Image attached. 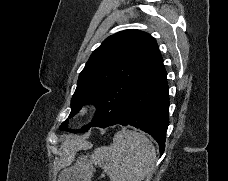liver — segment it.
Here are the masks:
<instances>
[{"label": "liver", "instance_id": "1", "mask_svg": "<svg viewBox=\"0 0 228 181\" xmlns=\"http://www.w3.org/2000/svg\"><path fill=\"white\" fill-rule=\"evenodd\" d=\"M91 147V143H88V141L83 139V137H77V135H68V137H65V141L61 145V149L65 153V161H70L75 151H79V149H91Z\"/></svg>", "mask_w": 228, "mask_h": 181}]
</instances>
